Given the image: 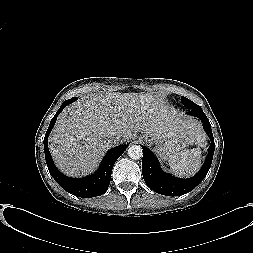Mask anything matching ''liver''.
Returning a JSON list of instances; mask_svg holds the SVG:
<instances>
[{"label": "liver", "instance_id": "liver-1", "mask_svg": "<svg viewBox=\"0 0 253 253\" xmlns=\"http://www.w3.org/2000/svg\"><path fill=\"white\" fill-rule=\"evenodd\" d=\"M142 132L157 140L179 136L189 144L204 142L201 123L166 105L159 95L108 91L81 97L57 118L49 137L56 166L68 176L93 172L120 133L126 142Z\"/></svg>", "mask_w": 253, "mask_h": 253}]
</instances>
